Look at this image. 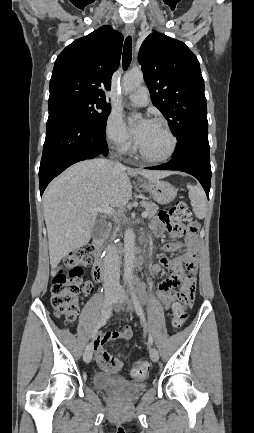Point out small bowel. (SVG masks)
Wrapping results in <instances>:
<instances>
[{"instance_id": "c3829d8e", "label": "small bowel", "mask_w": 254, "mask_h": 433, "mask_svg": "<svg viewBox=\"0 0 254 433\" xmlns=\"http://www.w3.org/2000/svg\"><path fill=\"white\" fill-rule=\"evenodd\" d=\"M164 230H168L174 237H181L182 231L172 226L165 225L159 218L154 219L152 223V231L155 235L161 234ZM180 248H186V252L174 259L163 256L159 264H153L150 267L152 275H159L167 268L171 272V276L162 281L157 288L158 299L169 307L176 300H192L196 287L197 261L194 253V241L192 237H187L181 241L168 243L164 246L165 252H172ZM186 267L187 273H184L183 267ZM179 286L180 291L175 292L174 288ZM133 337V331L130 328H125L122 331H107L100 333L94 343L96 352V362L103 372L107 375L118 373L123 362L121 359L113 356L106 348L105 344L112 339L127 340Z\"/></svg>"}]
</instances>
